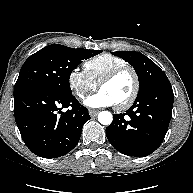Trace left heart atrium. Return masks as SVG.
Returning a JSON list of instances; mask_svg holds the SVG:
<instances>
[{
    "instance_id": "1",
    "label": "left heart atrium",
    "mask_w": 193,
    "mask_h": 193,
    "mask_svg": "<svg viewBox=\"0 0 193 193\" xmlns=\"http://www.w3.org/2000/svg\"><path fill=\"white\" fill-rule=\"evenodd\" d=\"M84 104L91 108L109 107L115 105L112 98L101 90L87 97L84 101Z\"/></svg>"
}]
</instances>
